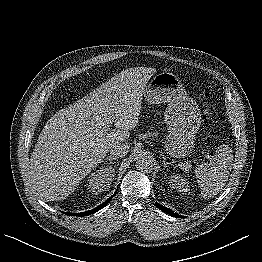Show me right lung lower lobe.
<instances>
[{"label": "right lung lower lobe", "instance_id": "obj_1", "mask_svg": "<svg viewBox=\"0 0 262 262\" xmlns=\"http://www.w3.org/2000/svg\"><path fill=\"white\" fill-rule=\"evenodd\" d=\"M115 194L116 192L110 198H108L104 203H102L101 205H99L98 207L92 210L81 212V213H69V212H63V213L66 215H71V216H88L104 208L111 201L112 197L115 196Z\"/></svg>", "mask_w": 262, "mask_h": 262}]
</instances>
